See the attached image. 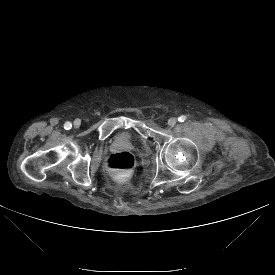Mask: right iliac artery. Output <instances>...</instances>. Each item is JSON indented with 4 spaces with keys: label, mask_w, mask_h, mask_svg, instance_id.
<instances>
[{
    "label": "right iliac artery",
    "mask_w": 275,
    "mask_h": 275,
    "mask_svg": "<svg viewBox=\"0 0 275 275\" xmlns=\"http://www.w3.org/2000/svg\"><path fill=\"white\" fill-rule=\"evenodd\" d=\"M64 128H65L66 130H69V129L72 128V124H71L70 122H66V123L64 124Z\"/></svg>",
    "instance_id": "obj_1"
}]
</instances>
